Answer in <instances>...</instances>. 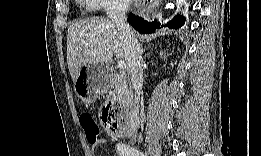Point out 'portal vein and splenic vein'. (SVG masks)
<instances>
[{
    "instance_id": "18ae733b",
    "label": "portal vein and splenic vein",
    "mask_w": 261,
    "mask_h": 156,
    "mask_svg": "<svg viewBox=\"0 0 261 156\" xmlns=\"http://www.w3.org/2000/svg\"><path fill=\"white\" fill-rule=\"evenodd\" d=\"M118 67L120 70L126 69V63L123 60L118 61Z\"/></svg>"
}]
</instances>
